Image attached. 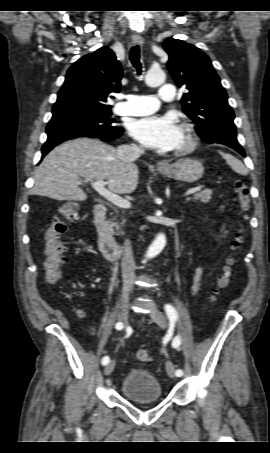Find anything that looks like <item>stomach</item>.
Returning <instances> with one entry per match:
<instances>
[{"instance_id": "obj_1", "label": "stomach", "mask_w": 270, "mask_h": 453, "mask_svg": "<svg viewBox=\"0 0 270 453\" xmlns=\"http://www.w3.org/2000/svg\"><path fill=\"white\" fill-rule=\"evenodd\" d=\"M158 171L166 177L183 182H196L204 174V167L200 161L193 158H182L166 167L158 168Z\"/></svg>"}]
</instances>
